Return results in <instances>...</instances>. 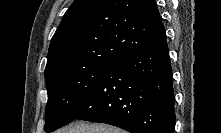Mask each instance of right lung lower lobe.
I'll return each mask as SVG.
<instances>
[{
  "label": "right lung lower lobe",
  "mask_w": 221,
  "mask_h": 133,
  "mask_svg": "<svg viewBox=\"0 0 221 133\" xmlns=\"http://www.w3.org/2000/svg\"><path fill=\"white\" fill-rule=\"evenodd\" d=\"M74 120L107 123L131 133H173V74L167 41L113 62Z\"/></svg>",
  "instance_id": "1"
}]
</instances>
